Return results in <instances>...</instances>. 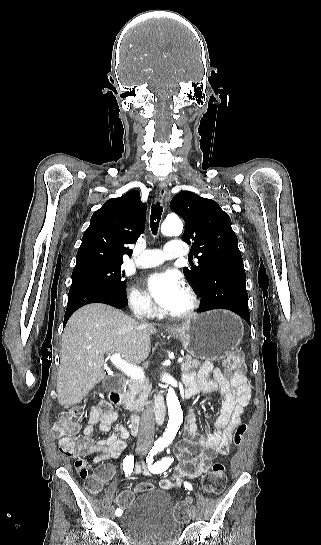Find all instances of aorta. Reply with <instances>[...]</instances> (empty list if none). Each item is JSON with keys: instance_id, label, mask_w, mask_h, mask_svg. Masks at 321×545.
<instances>
[{"instance_id": "obj_1", "label": "aorta", "mask_w": 321, "mask_h": 545, "mask_svg": "<svg viewBox=\"0 0 321 545\" xmlns=\"http://www.w3.org/2000/svg\"><path fill=\"white\" fill-rule=\"evenodd\" d=\"M183 231V223L178 218H168L161 226V232L166 236H179ZM169 420L160 443L169 445L175 438L179 427L183 421V412L179 403V400L172 388L168 389L166 396Z\"/></svg>"}]
</instances>
